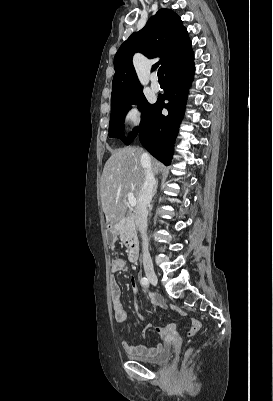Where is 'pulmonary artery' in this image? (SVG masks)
<instances>
[{"instance_id":"e3ab8cb5","label":"pulmonary artery","mask_w":273,"mask_h":401,"mask_svg":"<svg viewBox=\"0 0 273 401\" xmlns=\"http://www.w3.org/2000/svg\"><path fill=\"white\" fill-rule=\"evenodd\" d=\"M151 87L153 91H159L160 82L158 80H153L151 82Z\"/></svg>"}]
</instances>
